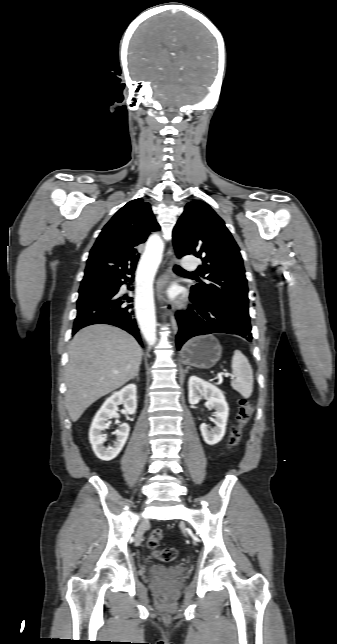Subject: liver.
Here are the masks:
<instances>
[{
  "instance_id": "liver-1",
  "label": "liver",
  "mask_w": 337,
  "mask_h": 644,
  "mask_svg": "<svg viewBox=\"0 0 337 644\" xmlns=\"http://www.w3.org/2000/svg\"><path fill=\"white\" fill-rule=\"evenodd\" d=\"M142 349L133 336L109 325H92L72 339L65 370L66 407L73 422L102 396L139 371Z\"/></svg>"
}]
</instances>
